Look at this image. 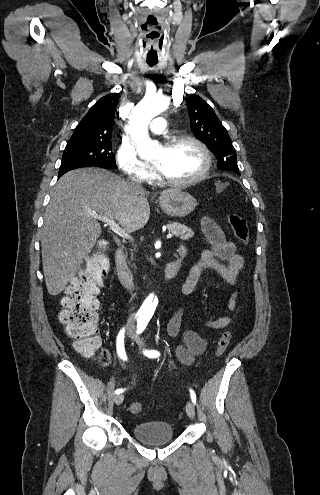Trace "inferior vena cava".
<instances>
[{"label": "inferior vena cava", "instance_id": "602c4592", "mask_svg": "<svg viewBox=\"0 0 320 495\" xmlns=\"http://www.w3.org/2000/svg\"><path fill=\"white\" fill-rule=\"evenodd\" d=\"M129 187L134 190V191H137L139 189H141V181L140 180H137V179H129L127 181ZM132 318V315L130 316ZM134 329V325L133 323L130 324V330H133Z\"/></svg>", "mask_w": 320, "mask_h": 495}]
</instances>
